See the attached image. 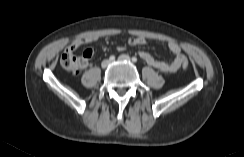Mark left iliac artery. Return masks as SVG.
<instances>
[{
	"label": "left iliac artery",
	"mask_w": 244,
	"mask_h": 157,
	"mask_svg": "<svg viewBox=\"0 0 244 157\" xmlns=\"http://www.w3.org/2000/svg\"><path fill=\"white\" fill-rule=\"evenodd\" d=\"M132 61H133L134 63H136V62H137V58H136V57H132Z\"/></svg>",
	"instance_id": "44dca946"
}]
</instances>
